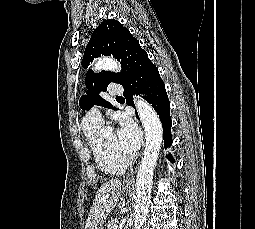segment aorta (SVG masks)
Masks as SVG:
<instances>
[{
	"label": "aorta",
	"mask_w": 255,
	"mask_h": 229,
	"mask_svg": "<svg viewBox=\"0 0 255 229\" xmlns=\"http://www.w3.org/2000/svg\"><path fill=\"white\" fill-rule=\"evenodd\" d=\"M102 69L120 71L121 67L115 59L105 57L99 59L94 66L95 71ZM134 102L146 135L144 156L136 176L134 208V229H141L147 220L154 169L163 139V127L159 116L149 103L140 97H135Z\"/></svg>",
	"instance_id": "obj_1"
}]
</instances>
